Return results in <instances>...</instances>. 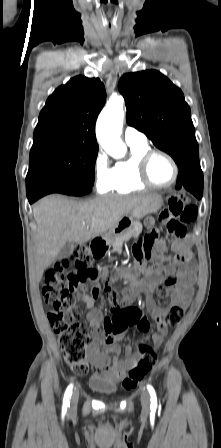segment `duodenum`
Instances as JSON below:
<instances>
[{"label":"duodenum","mask_w":221,"mask_h":448,"mask_svg":"<svg viewBox=\"0 0 221 448\" xmlns=\"http://www.w3.org/2000/svg\"><path fill=\"white\" fill-rule=\"evenodd\" d=\"M109 241L105 236H98L91 241L90 253L95 259L103 258L108 250Z\"/></svg>","instance_id":"obj_1"}]
</instances>
